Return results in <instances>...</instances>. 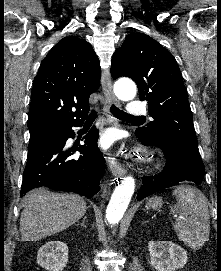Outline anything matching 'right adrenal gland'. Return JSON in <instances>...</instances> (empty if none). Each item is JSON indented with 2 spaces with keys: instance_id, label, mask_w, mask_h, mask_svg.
I'll return each mask as SVG.
<instances>
[{
  "instance_id": "obj_1",
  "label": "right adrenal gland",
  "mask_w": 221,
  "mask_h": 271,
  "mask_svg": "<svg viewBox=\"0 0 221 271\" xmlns=\"http://www.w3.org/2000/svg\"><path fill=\"white\" fill-rule=\"evenodd\" d=\"M85 219H86V215H85V217H83V219H82V223H75V225H84V223H85Z\"/></svg>"
}]
</instances>
